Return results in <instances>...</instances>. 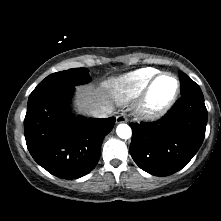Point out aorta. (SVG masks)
Wrapping results in <instances>:
<instances>
[{"label": "aorta", "instance_id": "1", "mask_svg": "<svg viewBox=\"0 0 221 221\" xmlns=\"http://www.w3.org/2000/svg\"><path fill=\"white\" fill-rule=\"evenodd\" d=\"M116 133L121 139H129L132 136V130L127 124H119Z\"/></svg>", "mask_w": 221, "mask_h": 221}]
</instances>
